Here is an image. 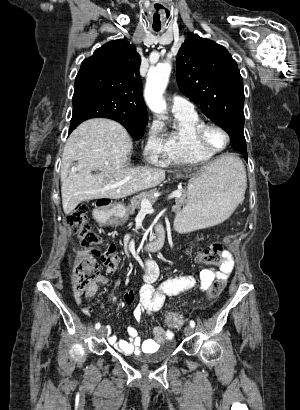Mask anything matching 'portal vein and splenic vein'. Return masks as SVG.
Instances as JSON below:
<instances>
[{"mask_svg": "<svg viewBox=\"0 0 300 410\" xmlns=\"http://www.w3.org/2000/svg\"><path fill=\"white\" fill-rule=\"evenodd\" d=\"M181 195H182V192L180 190H176L168 196V199L177 198V197H180ZM141 206L146 212L148 213L153 212L152 205L147 198L142 199Z\"/></svg>", "mask_w": 300, "mask_h": 410, "instance_id": "1", "label": "portal vein and splenic vein"}]
</instances>
